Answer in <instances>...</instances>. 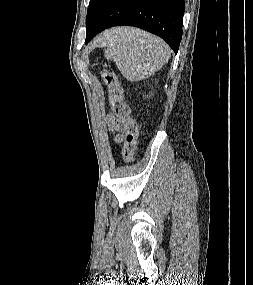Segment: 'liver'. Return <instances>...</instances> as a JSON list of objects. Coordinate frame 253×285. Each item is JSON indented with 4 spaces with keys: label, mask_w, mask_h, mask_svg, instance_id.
<instances>
[{
    "label": "liver",
    "mask_w": 253,
    "mask_h": 285,
    "mask_svg": "<svg viewBox=\"0 0 253 285\" xmlns=\"http://www.w3.org/2000/svg\"><path fill=\"white\" fill-rule=\"evenodd\" d=\"M116 31H118V29L111 30V31L105 33L104 37H105L106 35H109V34L113 33V32H116ZM104 37H103V38H104Z\"/></svg>",
    "instance_id": "1"
}]
</instances>
